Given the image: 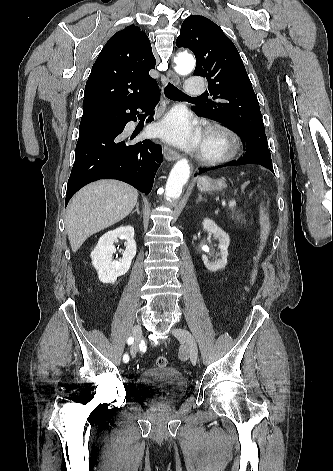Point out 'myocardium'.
<instances>
[{
	"instance_id": "1",
	"label": "myocardium",
	"mask_w": 333,
	"mask_h": 471,
	"mask_svg": "<svg viewBox=\"0 0 333 471\" xmlns=\"http://www.w3.org/2000/svg\"><path fill=\"white\" fill-rule=\"evenodd\" d=\"M217 139L220 148L209 150L202 144L199 150V159L207 165H216L232 160L240 150L241 142L239 137L228 127L221 124L209 125L204 133L203 141Z\"/></svg>"
}]
</instances>
